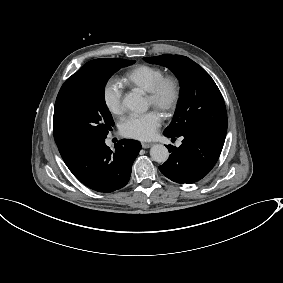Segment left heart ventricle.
<instances>
[{
    "label": "left heart ventricle",
    "mask_w": 283,
    "mask_h": 283,
    "mask_svg": "<svg viewBox=\"0 0 283 283\" xmlns=\"http://www.w3.org/2000/svg\"><path fill=\"white\" fill-rule=\"evenodd\" d=\"M168 93H166V95H167ZM147 104H148V106H152V103H151V100L149 99V97L147 96ZM152 107H154V108H156L157 110H159L160 111V108H159V106H152Z\"/></svg>",
    "instance_id": "obj_1"
}]
</instances>
